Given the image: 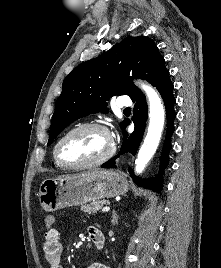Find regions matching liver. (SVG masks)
<instances>
[{"label":"liver","mask_w":221,"mask_h":268,"mask_svg":"<svg viewBox=\"0 0 221 268\" xmlns=\"http://www.w3.org/2000/svg\"><path fill=\"white\" fill-rule=\"evenodd\" d=\"M99 170H95V172H98ZM63 177H67V176H59L57 179L63 178Z\"/></svg>","instance_id":"1"}]
</instances>
